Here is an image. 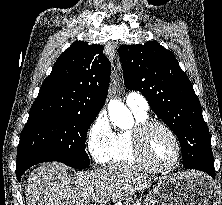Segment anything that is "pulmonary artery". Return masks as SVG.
<instances>
[{
	"label": "pulmonary artery",
	"mask_w": 222,
	"mask_h": 205,
	"mask_svg": "<svg viewBox=\"0 0 222 205\" xmlns=\"http://www.w3.org/2000/svg\"><path fill=\"white\" fill-rule=\"evenodd\" d=\"M125 102L130 109L143 113H146L149 108L147 100L141 94L136 92L128 93Z\"/></svg>",
	"instance_id": "e3ab8cb5"
}]
</instances>
